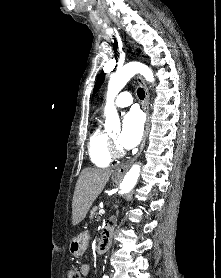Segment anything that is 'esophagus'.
<instances>
[{
	"mask_svg": "<svg viewBox=\"0 0 221 278\" xmlns=\"http://www.w3.org/2000/svg\"><path fill=\"white\" fill-rule=\"evenodd\" d=\"M139 81L142 83V86H143V88L145 90V99H144V102H143V109H144V111L146 113L147 120H146V124H145L144 134H143V138H142V141H141L138 153L135 155V157L130 162H128V163H126L124 165H121L120 167H118L115 170L114 175H116V176H123L127 172V170L130 168V166L133 164V162L141 154V152H142V150H143V148L145 146L146 139H147L148 128H149V118H150V113H149V91H148V88H147V85H146L144 79L141 76H139Z\"/></svg>",
	"mask_w": 221,
	"mask_h": 278,
	"instance_id": "34e87169",
	"label": "esophagus"
}]
</instances>
